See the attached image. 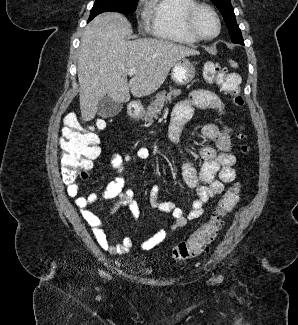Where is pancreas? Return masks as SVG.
I'll return each instance as SVG.
<instances>
[{
  "label": "pancreas",
  "mask_w": 298,
  "mask_h": 325,
  "mask_svg": "<svg viewBox=\"0 0 298 325\" xmlns=\"http://www.w3.org/2000/svg\"><path fill=\"white\" fill-rule=\"evenodd\" d=\"M181 92V88H169L168 92L167 90H160V92H157L154 100L147 106L143 120H146V122H153L154 118H158V114H161L163 106H165L167 102H171L175 96H179Z\"/></svg>",
  "instance_id": "pancreas-1"
}]
</instances>
